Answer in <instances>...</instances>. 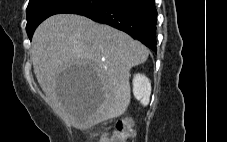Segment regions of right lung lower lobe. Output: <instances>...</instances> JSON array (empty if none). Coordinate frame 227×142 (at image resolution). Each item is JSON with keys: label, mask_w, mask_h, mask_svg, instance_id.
Returning a JSON list of instances; mask_svg holds the SVG:
<instances>
[{"label": "right lung lower lobe", "mask_w": 227, "mask_h": 142, "mask_svg": "<svg viewBox=\"0 0 227 142\" xmlns=\"http://www.w3.org/2000/svg\"><path fill=\"white\" fill-rule=\"evenodd\" d=\"M79 14L124 31L156 51L157 11L154 0H108Z\"/></svg>", "instance_id": "obj_1"}]
</instances>
